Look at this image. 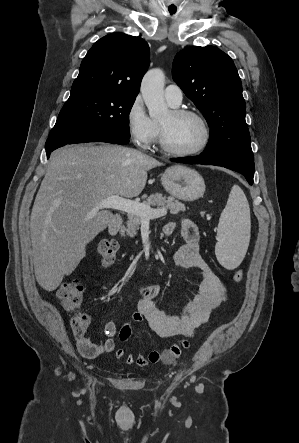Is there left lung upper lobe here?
Listing matches in <instances>:
<instances>
[{"label":"left lung upper lobe","mask_w":299,"mask_h":443,"mask_svg":"<svg viewBox=\"0 0 299 443\" xmlns=\"http://www.w3.org/2000/svg\"><path fill=\"white\" fill-rule=\"evenodd\" d=\"M172 76L210 127L201 155L220 163L254 161L241 79L232 59L214 46L188 47L175 56Z\"/></svg>","instance_id":"5c2ea615"}]
</instances>
